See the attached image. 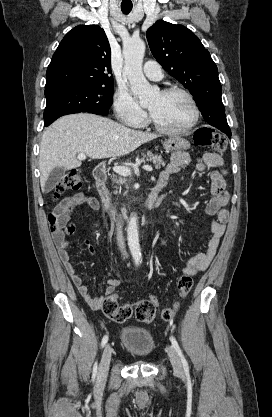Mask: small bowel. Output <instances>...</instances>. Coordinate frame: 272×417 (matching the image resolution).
Segmentation results:
<instances>
[{"instance_id":"1","label":"small bowel","mask_w":272,"mask_h":417,"mask_svg":"<svg viewBox=\"0 0 272 417\" xmlns=\"http://www.w3.org/2000/svg\"><path fill=\"white\" fill-rule=\"evenodd\" d=\"M190 161V156L185 152H177L173 154L170 162L161 172L159 182L166 184L171 175L177 174L181 168L188 165ZM196 166L199 171L212 169L209 172L211 198L204 209V213L211 217L212 220L210 224L211 237L208 240L206 251L197 253L188 258L182 269V272L185 275L191 277L197 276L206 270L210 265L217 253L221 239L225 233L226 223L229 219V212L227 210L229 195L225 191L226 171L224 170V161L222 157L215 153H205L196 159ZM82 206H87L92 210H98L99 202L95 197L84 193H76L66 197L55 209L59 224L64 225L68 222L71 214ZM53 238L58 247L59 258L78 292L93 310H100L104 299L114 293L116 288L120 285L121 280L119 278H113L101 281L100 285L104 287L105 297L93 296L89 292V288L84 283V280L79 274L76 266L70 260V254L68 251L69 243L65 240L63 232L59 231L55 233ZM84 243L87 245L89 252L93 254V248L89 245V243L86 241Z\"/></svg>"}]
</instances>
